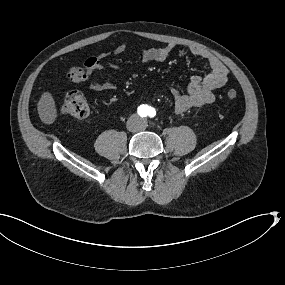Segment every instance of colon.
<instances>
[{
	"mask_svg": "<svg viewBox=\"0 0 285 285\" xmlns=\"http://www.w3.org/2000/svg\"><path fill=\"white\" fill-rule=\"evenodd\" d=\"M68 77L71 81L80 83L86 79L87 72L85 69L80 67H71L68 72ZM236 97V90L230 89L227 91L228 99L233 100ZM62 113L71 118L86 119L90 114V109L82 93L79 91H71L64 99Z\"/></svg>",
	"mask_w": 285,
	"mask_h": 285,
	"instance_id": "obj_1",
	"label": "colon"
}]
</instances>
